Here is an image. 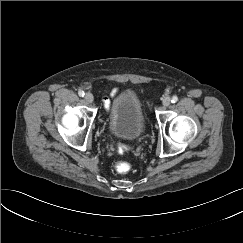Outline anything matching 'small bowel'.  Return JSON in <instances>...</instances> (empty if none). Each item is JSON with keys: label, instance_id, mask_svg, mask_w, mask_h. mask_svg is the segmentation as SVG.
<instances>
[{"label": "small bowel", "instance_id": "obj_1", "mask_svg": "<svg viewBox=\"0 0 243 243\" xmlns=\"http://www.w3.org/2000/svg\"><path fill=\"white\" fill-rule=\"evenodd\" d=\"M116 92H117V89H114V90H112V92L110 93V95L113 97L116 94ZM104 105H105V107L107 109L109 108V106H110V99L108 97H105L104 98Z\"/></svg>", "mask_w": 243, "mask_h": 243}]
</instances>
